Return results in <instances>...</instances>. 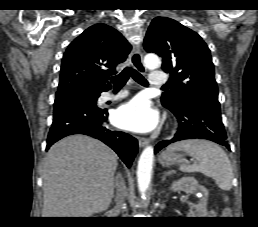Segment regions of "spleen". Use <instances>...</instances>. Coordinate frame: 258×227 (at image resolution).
I'll return each instance as SVG.
<instances>
[{
    "label": "spleen",
    "instance_id": "obj_1",
    "mask_svg": "<svg viewBox=\"0 0 258 227\" xmlns=\"http://www.w3.org/2000/svg\"><path fill=\"white\" fill-rule=\"evenodd\" d=\"M185 151L198 160L199 164H184L180 166L183 172H201L213 178L216 185L229 191L232 187L233 169L225 151L217 144L208 140L188 139L173 143L167 151Z\"/></svg>",
    "mask_w": 258,
    "mask_h": 227
}]
</instances>
